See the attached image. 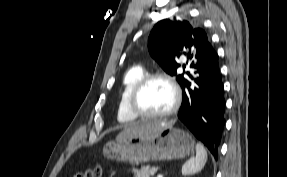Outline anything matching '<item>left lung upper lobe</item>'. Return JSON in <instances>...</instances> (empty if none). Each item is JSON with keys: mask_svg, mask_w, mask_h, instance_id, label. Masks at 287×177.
I'll return each mask as SVG.
<instances>
[{"mask_svg": "<svg viewBox=\"0 0 287 177\" xmlns=\"http://www.w3.org/2000/svg\"><path fill=\"white\" fill-rule=\"evenodd\" d=\"M148 48L163 70L176 76L181 86L191 75L188 72L187 76L177 75L180 66L177 58L185 54L190 61L195 59L196 64L192 62L190 67L196 68L208 58L209 51L213 49L204 30L193 28L188 21L178 17L164 19L154 26L148 39Z\"/></svg>", "mask_w": 287, "mask_h": 177, "instance_id": "1", "label": "left lung upper lobe"}]
</instances>
